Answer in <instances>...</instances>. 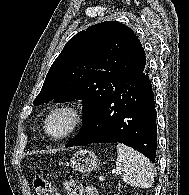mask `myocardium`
<instances>
[{
	"label": "myocardium",
	"mask_w": 189,
	"mask_h": 195,
	"mask_svg": "<svg viewBox=\"0 0 189 195\" xmlns=\"http://www.w3.org/2000/svg\"><path fill=\"white\" fill-rule=\"evenodd\" d=\"M60 111H69L73 116V121H72L70 128L64 134L60 136H53L50 134L48 130V122L53 115H55L56 113ZM84 121H85V114L83 110L81 109V107L75 103L66 102V103L59 104L50 110V112L45 117L43 128H44L45 134L51 140L62 141V140L69 138L73 134H75L82 127Z\"/></svg>",
	"instance_id": "obj_1"
}]
</instances>
